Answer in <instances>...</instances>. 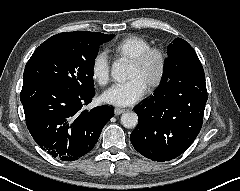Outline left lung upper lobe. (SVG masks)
Here are the masks:
<instances>
[{
    "instance_id": "left-lung-upper-lobe-1",
    "label": "left lung upper lobe",
    "mask_w": 240,
    "mask_h": 191,
    "mask_svg": "<svg viewBox=\"0 0 240 191\" xmlns=\"http://www.w3.org/2000/svg\"><path fill=\"white\" fill-rule=\"evenodd\" d=\"M163 75L157 89L175 79L182 72L198 68L203 70L201 62L191 45L181 38H176L167 47Z\"/></svg>"
}]
</instances>
